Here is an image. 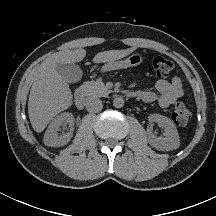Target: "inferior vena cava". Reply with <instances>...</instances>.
<instances>
[{"mask_svg":"<svg viewBox=\"0 0 216 216\" xmlns=\"http://www.w3.org/2000/svg\"><path fill=\"white\" fill-rule=\"evenodd\" d=\"M103 107L102 101L99 98H90L87 101L86 109L89 112H99Z\"/></svg>","mask_w":216,"mask_h":216,"instance_id":"1","label":"inferior vena cava"}]
</instances>
